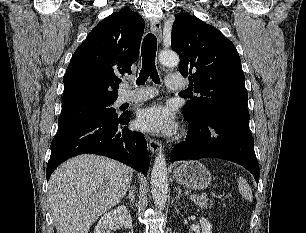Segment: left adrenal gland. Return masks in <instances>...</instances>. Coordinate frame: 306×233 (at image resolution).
<instances>
[{
  "instance_id": "a2214340",
  "label": "left adrenal gland",
  "mask_w": 306,
  "mask_h": 233,
  "mask_svg": "<svg viewBox=\"0 0 306 233\" xmlns=\"http://www.w3.org/2000/svg\"><path fill=\"white\" fill-rule=\"evenodd\" d=\"M177 192L176 199H179V197L182 196V190L180 187H177Z\"/></svg>"
}]
</instances>
